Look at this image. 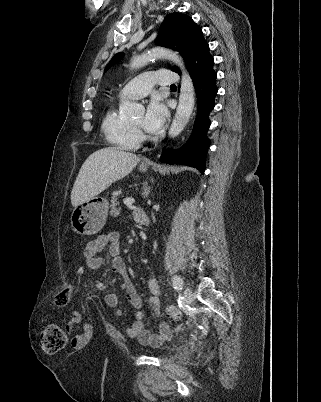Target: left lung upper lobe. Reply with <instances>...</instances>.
I'll return each instance as SVG.
<instances>
[{"mask_svg": "<svg viewBox=\"0 0 321 402\" xmlns=\"http://www.w3.org/2000/svg\"><path fill=\"white\" fill-rule=\"evenodd\" d=\"M156 44L178 51L183 56L186 65L192 55L205 41L200 27L189 17L181 13H172L165 17L156 38ZM124 53H117L109 62L106 70L119 61ZM177 72L178 68L173 67Z\"/></svg>", "mask_w": 321, "mask_h": 402, "instance_id": "left-lung-upper-lobe-1", "label": "left lung upper lobe"}]
</instances>
